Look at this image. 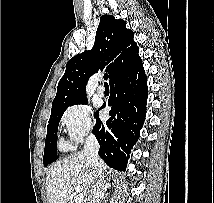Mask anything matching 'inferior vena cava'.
I'll return each mask as SVG.
<instances>
[{"label":"inferior vena cava","instance_id":"inferior-vena-cava-1","mask_svg":"<svg viewBox=\"0 0 214 203\" xmlns=\"http://www.w3.org/2000/svg\"><path fill=\"white\" fill-rule=\"evenodd\" d=\"M99 143L93 134H89L84 144V156L91 167L92 193L87 203H100L104 188V162L99 157Z\"/></svg>","mask_w":214,"mask_h":203}]
</instances>
